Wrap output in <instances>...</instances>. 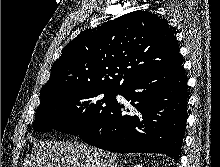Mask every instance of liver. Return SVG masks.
Segmentation results:
<instances>
[{
	"label": "liver",
	"mask_w": 220,
	"mask_h": 167,
	"mask_svg": "<svg viewBox=\"0 0 220 167\" xmlns=\"http://www.w3.org/2000/svg\"><path fill=\"white\" fill-rule=\"evenodd\" d=\"M117 157L97 148L70 142L35 144L22 167H117Z\"/></svg>",
	"instance_id": "1"
}]
</instances>
